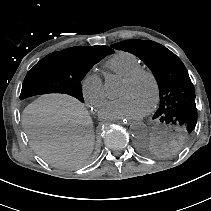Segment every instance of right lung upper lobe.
Segmentation results:
<instances>
[{
  "label": "right lung upper lobe",
  "instance_id": "obj_1",
  "mask_svg": "<svg viewBox=\"0 0 211 211\" xmlns=\"http://www.w3.org/2000/svg\"><path fill=\"white\" fill-rule=\"evenodd\" d=\"M80 53H100L104 55L112 54L114 51L108 46H77L69 48Z\"/></svg>",
  "mask_w": 211,
  "mask_h": 211
}]
</instances>
